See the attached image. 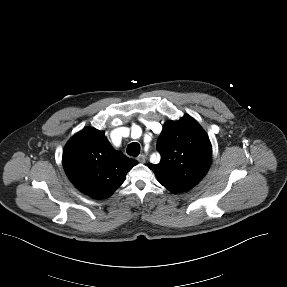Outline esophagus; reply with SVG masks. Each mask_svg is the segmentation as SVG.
<instances>
[{"label":"esophagus","mask_w":287,"mask_h":287,"mask_svg":"<svg viewBox=\"0 0 287 287\" xmlns=\"http://www.w3.org/2000/svg\"><path fill=\"white\" fill-rule=\"evenodd\" d=\"M137 160L140 162V163H145V160H146V157L145 155L141 154L137 157Z\"/></svg>","instance_id":"esophagus-1"}]
</instances>
